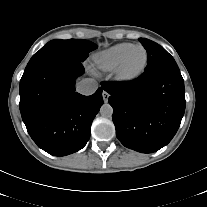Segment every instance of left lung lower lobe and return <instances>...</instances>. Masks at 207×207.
Masks as SVG:
<instances>
[{
    "instance_id": "0a47b994",
    "label": "left lung lower lobe",
    "mask_w": 207,
    "mask_h": 207,
    "mask_svg": "<svg viewBox=\"0 0 207 207\" xmlns=\"http://www.w3.org/2000/svg\"><path fill=\"white\" fill-rule=\"evenodd\" d=\"M110 94L116 136L127 148L156 152L176 134L185 111L184 81L175 61L128 82H102Z\"/></svg>"
}]
</instances>
